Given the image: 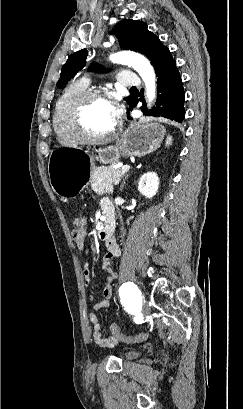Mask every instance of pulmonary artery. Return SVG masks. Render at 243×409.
Masks as SVG:
<instances>
[{
  "instance_id": "pulmonary-artery-1",
  "label": "pulmonary artery",
  "mask_w": 243,
  "mask_h": 409,
  "mask_svg": "<svg viewBox=\"0 0 243 409\" xmlns=\"http://www.w3.org/2000/svg\"><path fill=\"white\" fill-rule=\"evenodd\" d=\"M118 82L124 87H137L141 84L140 78L131 71H122L119 73Z\"/></svg>"
}]
</instances>
